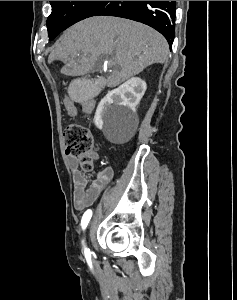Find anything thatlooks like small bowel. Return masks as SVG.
I'll list each match as a JSON object with an SVG mask.
<instances>
[{
    "label": "small bowel",
    "mask_w": 237,
    "mask_h": 300,
    "mask_svg": "<svg viewBox=\"0 0 237 300\" xmlns=\"http://www.w3.org/2000/svg\"><path fill=\"white\" fill-rule=\"evenodd\" d=\"M81 106L83 111L89 114L93 111L95 102L93 100H86L81 103ZM88 155L92 160H96L99 157L94 147L88 151ZM68 162L72 171L74 184V208L77 211H84L93 205L103 190L111 184L114 179V170L111 167H105L96 174L93 180L89 181L85 174L79 169L76 157H69Z\"/></svg>",
    "instance_id": "obj_1"
}]
</instances>
